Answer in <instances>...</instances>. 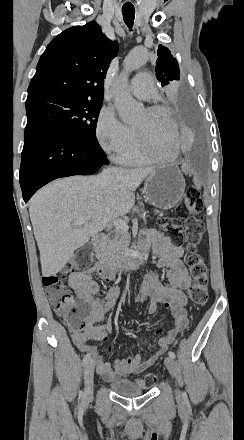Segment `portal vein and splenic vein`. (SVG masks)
<instances>
[{"label": "portal vein and splenic vein", "mask_w": 244, "mask_h": 440, "mask_svg": "<svg viewBox=\"0 0 244 440\" xmlns=\"http://www.w3.org/2000/svg\"><path fill=\"white\" fill-rule=\"evenodd\" d=\"M88 220H90V216H79V218H75L73 224L82 226V224H85ZM109 222H112L116 230H129L128 224H126L125 220H121V218H110Z\"/></svg>", "instance_id": "18ae733b"}]
</instances>
